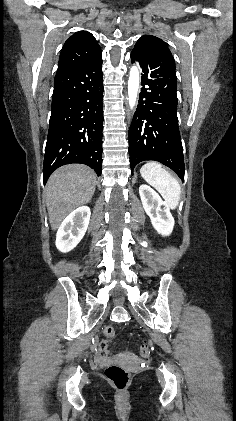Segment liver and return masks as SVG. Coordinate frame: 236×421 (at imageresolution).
<instances>
[{"instance_id": "obj_1", "label": "liver", "mask_w": 236, "mask_h": 421, "mask_svg": "<svg viewBox=\"0 0 236 421\" xmlns=\"http://www.w3.org/2000/svg\"><path fill=\"white\" fill-rule=\"evenodd\" d=\"M96 174L86 164H65L52 172L45 186V198L52 231L62 221L92 198Z\"/></svg>"}]
</instances>
